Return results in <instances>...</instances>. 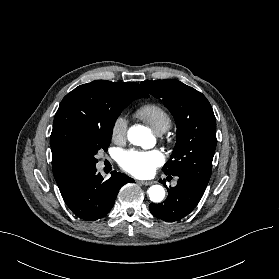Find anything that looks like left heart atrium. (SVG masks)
<instances>
[{
	"label": "left heart atrium",
	"mask_w": 279,
	"mask_h": 279,
	"mask_svg": "<svg viewBox=\"0 0 279 279\" xmlns=\"http://www.w3.org/2000/svg\"><path fill=\"white\" fill-rule=\"evenodd\" d=\"M120 166L136 177H148L164 162L163 154L157 150H127L119 156Z\"/></svg>",
	"instance_id": "obj_1"
}]
</instances>
